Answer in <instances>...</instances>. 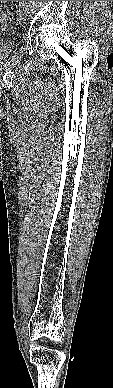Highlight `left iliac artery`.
<instances>
[{
	"mask_svg": "<svg viewBox=\"0 0 113 388\" xmlns=\"http://www.w3.org/2000/svg\"><path fill=\"white\" fill-rule=\"evenodd\" d=\"M20 4H21V6H22L24 9H26V10L28 11V13H29V9H28V6H27V4L25 3V1H21Z\"/></svg>",
	"mask_w": 113,
	"mask_h": 388,
	"instance_id": "44dca946",
	"label": "left iliac artery"
}]
</instances>
